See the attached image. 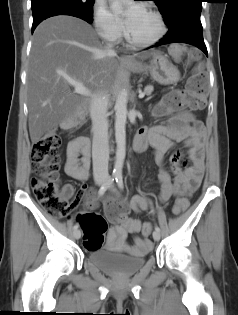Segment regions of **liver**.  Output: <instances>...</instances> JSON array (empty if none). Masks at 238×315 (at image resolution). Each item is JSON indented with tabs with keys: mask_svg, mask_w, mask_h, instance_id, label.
<instances>
[{
	"mask_svg": "<svg viewBox=\"0 0 238 315\" xmlns=\"http://www.w3.org/2000/svg\"><path fill=\"white\" fill-rule=\"evenodd\" d=\"M94 29L85 21L58 15L35 30L27 70L28 124L33 144L58 124L75 123L89 110L84 95H75L67 79L91 91H112L117 83L120 58L106 54ZM155 52L137 55L146 60Z\"/></svg>",
	"mask_w": 238,
	"mask_h": 315,
	"instance_id": "liver-1",
	"label": "liver"
}]
</instances>
